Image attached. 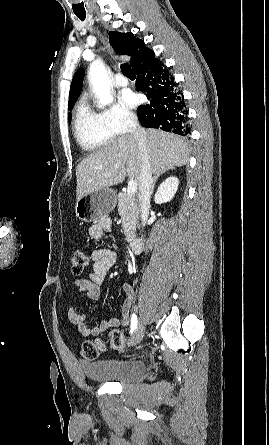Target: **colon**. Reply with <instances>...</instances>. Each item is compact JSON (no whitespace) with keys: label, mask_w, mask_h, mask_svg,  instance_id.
<instances>
[{"label":"colon","mask_w":269,"mask_h":445,"mask_svg":"<svg viewBox=\"0 0 269 445\" xmlns=\"http://www.w3.org/2000/svg\"><path fill=\"white\" fill-rule=\"evenodd\" d=\"M70 260L74 274H81L88 265L87 256L80 250L73 251ZM110 342L112 347L116 350H123L125 347L124 337L117 330L110 333ZM105 348V343L101 339L88 340L82 343L81 354L87 360H95Z\"/></svg>","instance_id":"colon-1"}]
</instances>
